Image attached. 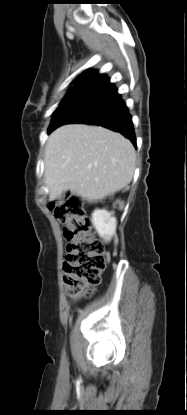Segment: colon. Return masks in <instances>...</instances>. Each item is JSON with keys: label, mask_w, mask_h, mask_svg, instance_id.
<instances>
[{"label": "colon", "mask_w": 187, "mask_h": 415, "mask_svg": "<svg viewBox=\"0 0 187 415\" xmlns=\"http://www.w3.org/2000/svg\"><path fill=\"white\" fill-rule=\"evenodd\" d=\"M52 210L64 225L68 241L63 262L64 283L69 294L78 298L100 282L106 266L103 244L95 238L90 217L79 196H65L52 206Z\"/></svg>", "instance_id": "1"}]
</instances>
